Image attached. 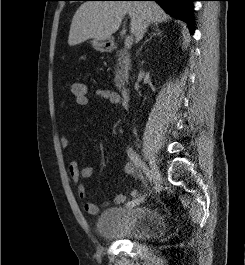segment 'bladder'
I'll list each match as a JSON object with an SVG mask.
<instances>
[{
  "instance_id": "31cf9c89",
  "label": "bladder",
  "mask_w": 245,
  "mask_h": 265,
  "mask_svg": "<svg viewBox=\"0 0 245 265\" xmlns=\"http://www.w3.org/2000/svg\"><path fill=\"white\" fill-rule=\"evenodd\" d=\"M165 230L161 215L143 205L107 208L96 220V231L103 237L145 241L161 236Z\"/></svg>"
}]
</instances>
